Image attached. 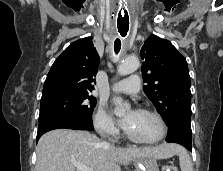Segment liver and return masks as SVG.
Wrapping results in <instances>:
<instances>
[{
	"label": "liver",
	"instance_id": "liver-1",
	"mask_svg": "<svg viewBox=\"0 0 223 171\" xmlns=\"http://www.w3.org/2000/svg\"><path fill=\"white\" fill-rule=\"evenodd\" d=\"M177 145L161 144L145 148H119L102 142L95 135L81 130L57 129L44 134L36 148L35 171H75V163L94 171H120L144 157L167 159L176 153Z\"/></svg>",
	"mask_w": 223,
	"mask_h": 171
}]
</instances>
